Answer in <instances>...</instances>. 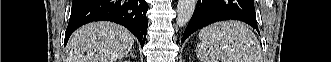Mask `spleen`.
<instances>
[{
    "label": "spleen",
    "mask_w": 331,
    "mask_h": 62,
    "mask_svg": "<svg viewBox=\"0 0 331 62\" xmlns=\"http://www.w3.org/2000/svg\"><path fill=\"white\" fill-rule=\"evenodd\" d=\"M196 55L201 62H260L256 36L237 21L214 23L199 32Z\"/></svg>",
    "instance_id": "spleen-1"
}]
</instances>
